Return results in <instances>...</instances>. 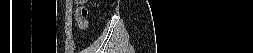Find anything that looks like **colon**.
I'll list each match as a JSON object with an SVG mask.
<instances>
[{
	"label": "colon",
	"mask_w": 253,
	"mask_h": 53,
	"mask_svg": "<svg viewBox=\"0 0 253 53\" xmlns=\"http://www.w3.org/2000/svg\"><path fill=\"white\" fill-rule=\"evenodd\" d=\"M77 17L80 21L81 27H86L87 26V22H86L87 9L85 7L78 8Z\"/></svg>",
	"instance_id": "obj_1"
}]
</instances>
